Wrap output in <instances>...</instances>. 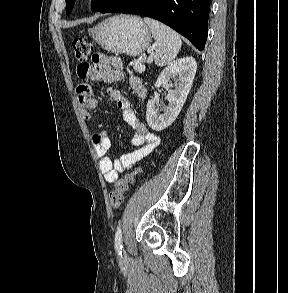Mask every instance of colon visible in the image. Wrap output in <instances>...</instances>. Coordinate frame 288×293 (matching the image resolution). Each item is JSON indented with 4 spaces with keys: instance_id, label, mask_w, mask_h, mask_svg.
I'll return each mask as SVG.
<instances>
[{
    "instance_id": "5ec220e1",
    "label": "colon",
    "mask_w": 288,
    "mask_h": 293,
    "mask_svg": "<svg viewBox=\"0 0 288 293\" xmlns=\"http://www.w3.org/2000/svg\"><path fill=\"white\" fill-rule=\"evenodd\" d=\"M76 59L81 64H88V60L93 57V47L91 43L82 38H76L72 43ZM143 167H138L131 173L124 176L116 184L109 195V200L113 208H119L123 201L125 192L134 183L136 177L142 172Z\"/></svg>"
}]
</instances>
